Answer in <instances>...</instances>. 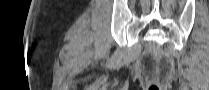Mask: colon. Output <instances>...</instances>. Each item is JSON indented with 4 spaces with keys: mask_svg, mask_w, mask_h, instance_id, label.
<instances>
[{
    "mask_svg": "<svg viewBox=\"0 0 209 90\" xmlns=\"http://www.w3.org/2000/svg\"><path fill=\"white\" fill-rule=\"evenodd\" d=\"M159 89V86L157 84H151L149 86V90H158Z\"/></svg>",
    "mask_w": 209,
    "mask_h": 90,
    "instance_id": "1",
    "label": "colon"
}]
</instances>
